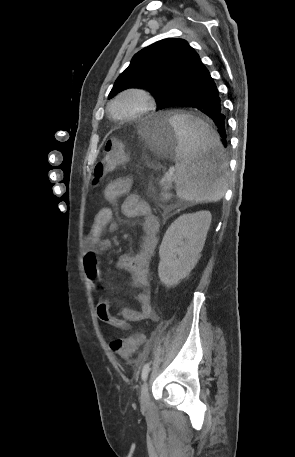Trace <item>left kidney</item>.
Here are the masks:
<instances>
[{
  "mask_svg": "<svg viewBox=\"0 0 295 457\" xmlns=\"http://www.w3.org/2000/svg\"><path fill=\"white\" fill-rule=\"evenodd\" d=\"M211 213L199 211L179 216L167 229L159 249L160 281L173 287L195 267L211 224Z\"/></svg>",
  "mask_w": 295,
  "mask_h": 457,
  "instance_id": "left-kidney-1",
  "label": "left kidney"
}]
</instances>
